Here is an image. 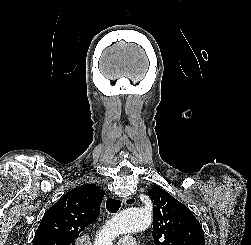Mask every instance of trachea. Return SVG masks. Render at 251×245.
Returning <instances> with one entry per match:
<instances>
[{"instance_id":"1","label":"trachea","mask_w":251,"mask_h":245,"mask_svg":"<svg viewBox=\"0 0 251 245\" xmlns=\"http://www.w3.org/2000/svg\"><path fill=\"white\" fill-rule=\"evenodd\" d=\"M121 201L113 198H108L106 201V208L110 213H115L119 210Z\"/></svg>"}]
</instances>
